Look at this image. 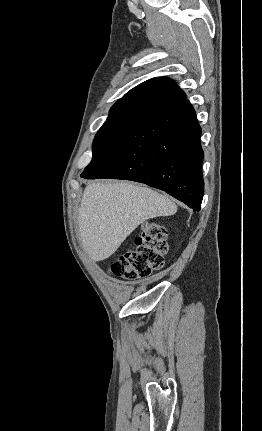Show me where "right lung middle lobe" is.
<instances>
[{
	"label": "right lung middle lobe",
	"mask_w": 262,
	"mask_h": 431,
	"mask_svg": "<svg viewBox=\"0 0 262 431\" xmlns=\"http://www.w3.org/2000/svg\"><path fill=\"white\" fill-rule=\"evenodd\" d=\"M130 127L131 125L122 124L103 125L95 136L92 160L86 169L91 167Z\"/></svg>",
	"instance_id": "obj_1"
}]
</instances>
